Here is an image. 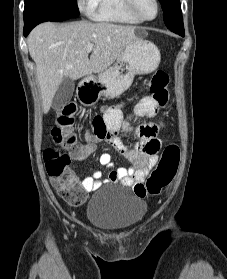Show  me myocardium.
<instances>
[{
  "instance_id": "myocardium-1",
  "label": "myocardium",
  "mask_w": 227,
  "mask_h": 279,
  "mask_svg": "<svg viewBox=\"0 0 227 279\" xmlns=\"http://www.w3.org/2000/svg\"><path fill=\"white\" fill-rule=\"evenodd\" d=\"M154 1V4H155V8H156V13L155 15L152 17V18H146V17H143L137 10V7H136V3H135V0H126L127 2V5L130 9V11L132 12V14L137 17L139 20L141 21H144V22H149V21H153L154 19L157 18L158 14H159V10H160V6H159V2L158 0H153Z\"/></svg>"
}]
</instances>
